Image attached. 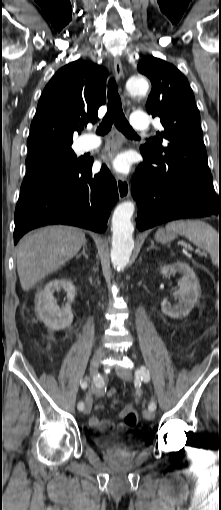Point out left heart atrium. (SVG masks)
Here are the masks:
<instances>
[{"instance_id":"1","label":"left heart atrium","mask_w":221,"mask_h":510,"mask_svg":"<svg viewBox=\"0 0 221 510\" xmlns=\"http://www.w3.org/2000/svg\"><path fill=\"white\" fill-rule=\"evenodd\" d=\"M130 166V159L127 155H120L114 160V167L119 172H127Z\"/></svg>"}]
</instances>
